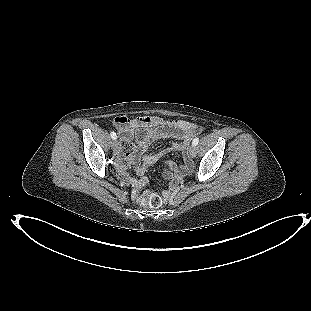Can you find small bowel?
Returning a JSON list of instances; mask_svg holds the SVG:
<instances>
[{
	"label": "small bowel",
	"mask_w": 311,
	"mask_h": 311,
	"mask_svg": "<svg viewBox=\"0 0 311 311\" xmlns=\"http://www.w3.org/2000/svg\"><path fill=\"white\" fill-rule=\"evenodd\" d=\"M150 117H136L130 119L118 116L114 119V126L121 134L122 147L118 153V165L122 177L132 186V199L137 201L141 188L146 184L144 177L147 168L166 155L181 152L185 149L189 139L198 131V127L185 120L168 121ZM173 138L176 141L164 146L155 152L146 153L152 142L160 139ZM131 161L137 178H133L125 169V163ZM166 165L172 171V177L178 178L189 168L188 159L185 158L183 166L177 165L172 160H167ZM164 197H169V191L164 192Z\"/></svg>",
	"instance_id": "small-bowel-1"
}]
</instances>
